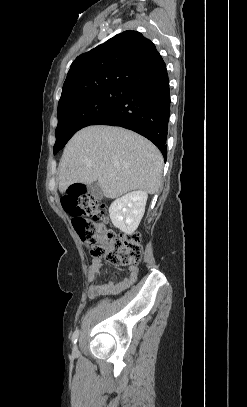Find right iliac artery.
<instances>
[{"instance_id":"1","label":"right iliac artery","mask_w":247,"mask_h":407,"mask_svg":"<svg viewBox=\"0 0 247 407\" xmlns=\"http://www.w3.org/2000/svg\"><path fill=\"white\" fill-rule=\"evenodd\" d=\"M79 336V330H75L73 335H72V342L75 344L77 342Z\"/></svg>"}]
</instances>
